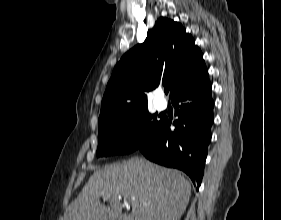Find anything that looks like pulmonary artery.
<instances>
[{
    "label": "pulmonary artery",
    "instance_id": "obj_1",
    "mask_svg": "<svg viewBox=\"0 0 281 220\" xmlns=\"http://www.w3.org/2000/svg\"><path fill=\"white\" fill-rule=\"evenodd\" d=\"M154 104L159 110H164L167 107V102L163 97L162 91L156 92Z\"/></svg>",
    "mask_w": 281,
    "mask_h": 220
}]
</instances>
